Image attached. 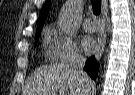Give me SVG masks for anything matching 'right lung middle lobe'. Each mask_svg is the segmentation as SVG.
Wrapping results in <instances>:
<instances>
[{"label":"right lung middle lobe","instance_id":"right-lung-middle-lobe-1","mask_svg":"<svg viewBox=\"0 0 135 95\" xmlns=\"http://www.w3.org/2000/svg\"><path fill=\"white\" fill-rule=\"evenodd\" d=\"M40 34H41V32H37V33H36L35 45H36L37 42H38V38H39Z\"/></svg>","mask_w":135,"mask_h":95}]
</instances>
